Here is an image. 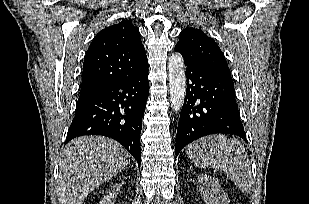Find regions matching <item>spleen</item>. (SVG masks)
<instances>
[{
    "mask_svg": "<svg viewBox=\"0 0 309 204\" xmlns=\"http://www.w3.org/2000/svg\"><path fill=\"white\" fill-rule=\"evenodd\" d=\"M186 155L199 168L223 171L243 193L252 191L251 163L237 139L210 135L190 144Z\"/></svg>",
    "mask_w": 309,
    "mask_h": 204,
    "instance_id": "3e777b00",
    "label": "spleen"
}]
</instances>
